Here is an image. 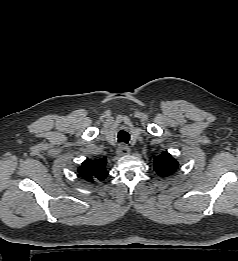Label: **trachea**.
<instances>
[{"label": "trachea", "instance_id": "1", "mask_svg": "<svg viewBox=\"0 0 238 261\" xmlns=\"http://www.w3.org/2000/svg\"><path fill=\"white\" fill-rule=\"evenodd\" d=\"M130 140V135L128 132H126L125 130H121L118 133V142H124V143H128Z\"/></svg>", "mask_w": 238, "mask_h": 261}]
</instances>
